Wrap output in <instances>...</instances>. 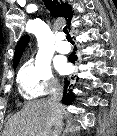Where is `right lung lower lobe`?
I'll return each mask as SVG.
<instances>
[{
    "instance_id": "1",
    "label": "right lung lower lobe",
    "mask_w": 117,
    "mask_h": 136,
    "mask_svg": "<svg viewBox=\"0 0 117 136\" xmlns=\"http://www.w3.org/2000/svg\"><path fill=\"white\" fill-rule=\"evenodd\" d=\"M69 61L71 62H75L76 61V57L74 55H71L69 57ZM65 86H64V96H63V103L65 104H69L71 103L74 99H75V95L73 94L71 88L73 87V83H74V77H66L64 80Z\"/></svg>"
}]
</instances>
